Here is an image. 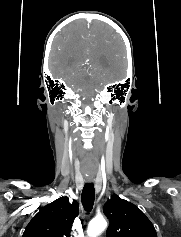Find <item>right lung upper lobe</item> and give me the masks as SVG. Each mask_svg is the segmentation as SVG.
I'll return each instance as SVG.
<instances>
[{"label":"right lung upper lobe","mask_w":181,"mask_h":237,"mask_svg":"<svg viewBox=\"0 0 181 237\" xmlns=\"http://www.w3.org/2000/svg\"><path fill=\"white\" fill-rule=\"evenodd\" d=\"M78 203L61 197L44 206L29 222L22 237H70V230L78 215Z\"/></svg>","instance_id":"cb5924a9"}]
</instances>
